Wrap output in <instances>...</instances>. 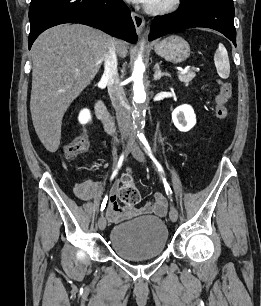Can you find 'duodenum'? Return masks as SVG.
<instances>
[{
  "instance_id": "obj_1",
  "label": "duodenum",
  "mask_w": 261,
  "mask_h": 306,
  "mask_svg": "<svg viewBox=\"0 0 261 306\" xmlns=\"http://www.w3.org/2000/svg\"><path fill=\"white\" fill-rule=\"evenodd\" d=\"M95 112L97 118L102 122L105 129L109 132L114 130V121L102 100H98L95 103Z\"/></svg>"
}]
</instances>
